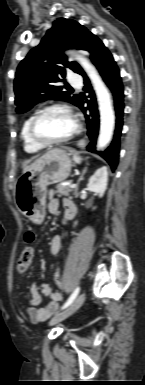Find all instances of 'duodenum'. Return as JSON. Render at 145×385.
I'll return each instance as SVG.
<instances>
[{
  "label": "duodenum",
  "instance_id": "obj_1",
  "mask_svg": "<svg viewBox=\"0 0 145 385\" xmlns=\"http://www.w3.org/2000/svg\"><path fill=\"white\" fill-rule=\"evenodd\" d=\"M73 217V213L71 211H66V215H65V218H64V223H66L67 221H69L70 219H72Z\"/></svg>",
  "mask_w": 145,
  "mask_h": 385
}]
</instances>
